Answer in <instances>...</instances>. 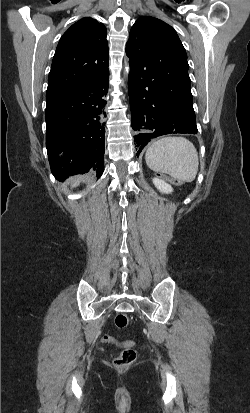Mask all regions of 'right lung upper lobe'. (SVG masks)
<instances>
[{"label": "right lung upper lobe", "mask_w": 250, "mask_h": 413, "mask_svg": "<svg viewBox=\"0 0 250 413\" xmlns=\"http://www.w3.org/2000/svg\"><path fill=\"white\" fill-rule=\"evenodd\" d=\"M106 27L85 17L61 37L48 77L47 92H57L97 79L108 71Z\"/></svg>", "instance_id": "cb5924a9"}]
</instances>
